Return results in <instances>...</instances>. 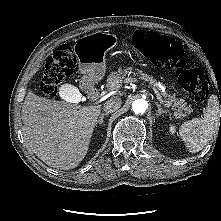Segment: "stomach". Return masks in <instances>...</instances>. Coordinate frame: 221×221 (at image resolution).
<instances>
[{
    "mask_svg": "<svg viewBox=\"0 0 221 221\" xmlns=\"http://www.w3.org/2000/svg\"><path fill=\"white\" fill-rule=\"evenodd\" d=\"M117 36L114 34L95 32L79 39L77 55L79 70L84 77L96 82L105 74V53L117 44Z\"/></svg>",
    "mask_w": 221,
    "mask_h": 221,
    "instance_id": "0dacf381",
    "label": "stomach"
}]
</instances>
